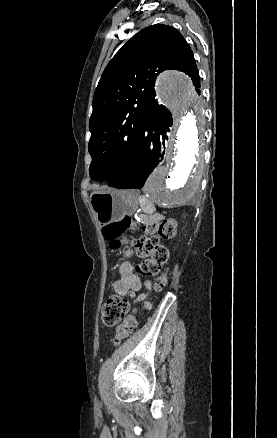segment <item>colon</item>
<instances>
[{
    "mask_svg": "<svg viewBox=\"0 0 277 438\" xmlns=\"http://www.w3.org/2000/svg\"><path fill=\"white\" fill-rule=\"evenodd\" d=\"M130 229H138L143 232V236L134 243L136 255L149 257V259L139 263L138 273L144 277H154L155 290H162L167 283V277L161 275V270L168 265L169 252L167 247L160 243V238L172 239L175 236V221H158L153 218H146L142 223L134 225L131 218L126 215L122 219L106 225L103 232L106 238L110 240V247L113 250H119L122 248L121 238ZM127 309V299L119 295L109 297L102 308V323L104 326L111 327L124 320L118 326L116 335L113 338L116 344L130 337L137 326V316H127Z\"/></svg>",
    "mask_w": 277,
    "mask_h": 438,
    "instance_id": "colon-1",
    "label": "colon"
}]
</instances>
